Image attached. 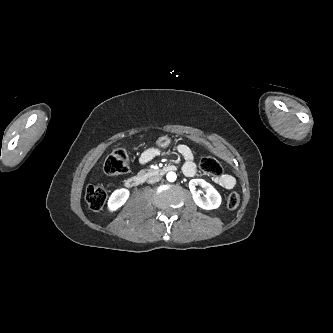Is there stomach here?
<instances>
[{"mask_svg":"<svg viewBox=\"0 0 333 333\" xmlns=\"http://www.w3.org/2000/svg\"><path fill=\"white\" fill-rule=\"evenodd\" d=\"M171 143V139L167 136L161 137L158 139L157 141V145L161 148V149H166L169 147Z\"/></svg>","mask_w":333,"mask_h":333,"instance_id":"stomach-1","label":"stomach"}]
</instances>
